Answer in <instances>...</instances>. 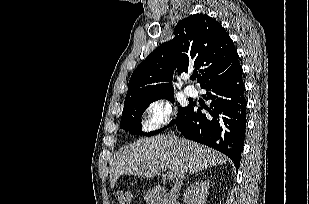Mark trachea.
Listing matches in <instances>:
<instances>
[{
	"instance_id": "3493384b",
	"label": "trachea",
	"mask_w": 309,
	"mask_h": 204,
	"mask_svg": "<svg viewBox=\"0 0 309 204\" xmlns=\"http://www.w3.org/2000/svg\"><path fill=\"white\" fill-rule=\"evenodd\" d=\"M197 77H198L197 74H193V75L191 76V79L194 80V79H196Z\"/></svg>"
}]
</instances>
